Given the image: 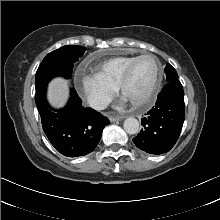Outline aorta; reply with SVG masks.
Segmentation results:
<instances>
[{
  "mask_svg": "<svg viewBox=\"0 0 220 220\" xmlns=\"http://www.w3.org/2000/svg\"><path fill=\"white\" fill-rule=\"evenodd\" d=\"M123 127L128 134H136L139 131V121L136 118L129 117L124 121Z\"/></svg>",
  "mask_w": 220,
  "mask_h": 220,
  "instance_id": "762f6f07",
  "label": "aorta"
}]
</instances>
